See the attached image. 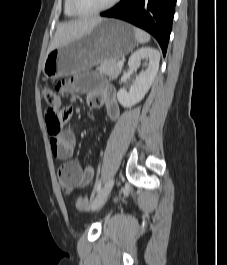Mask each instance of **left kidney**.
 <instances>
[{
	"label": "left kidney",
	"instance_id": "left-kidney-1",
	"mask_svg": "<svg viewBox=\"0 0 227 265\" xmlns=\"http://www.w3.org/2000/svg\"><path fill=\"white\" fill-rule=\"evenodd\" d=\"M142 60L148 61L145 72L136 76L129 92L125 89H120L117 93L118 102L123 107H131L140 102L150 89L157 75L160 53L154 48L142 47L130 56L128 65L132 69H137Z\"/></svg>",
	"mask_w": 227,
	"mask_h": 265
}]
</instances>
